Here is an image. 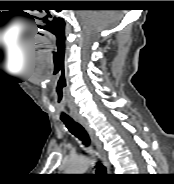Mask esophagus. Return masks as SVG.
Instances as JSON below:
<instances>
[{
  "instance_id": "obj_1",
  "label": "esophagus",
  "mask_w": 174,
  "mask_h": 184,
  "mask_svg": "<svg viewBox=\"0 0 174 184\" xmlns=\"http://www.w3.org/2000/svg\"><path fill=\"white\" fill-rule=\"evenodd\" d=\"M79 123L86 129V131L88 132V134L90 135L96 149L98 152V155L100 157V159L102 160V162L104 163V165L108 166V159H107V154L105 152V150L103 149V145L101 140L99 139V137L96 135V133L94 132V130L91 128V126L86 122V120L82 117H77L76 118Z\"/></svg>"
}]
</instances>
